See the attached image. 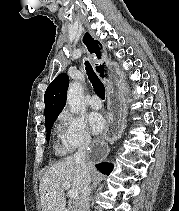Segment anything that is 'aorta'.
<instances>
[{"label": "aorta", "mask_w": 179, "mask_h": 211, "mask_svg": "<svg viewBox=\"0 0 179 211\" xmlns=\"http://www.w3.org/2000/svg\"><path fill=\"white\" fill-rule=\"evenodd\" d=\"M67 103L73 114H78L85 108L83 100V88L78 82H74L69 86L67 92Z\"/></svg>", "instance_id": "762f6f07"}]
</instances>
